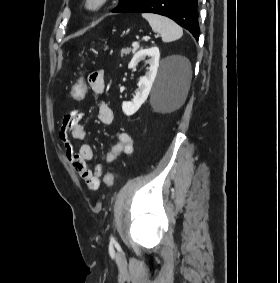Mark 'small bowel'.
I'll use <instances>...</instances> for the list:
<instances>
[{"label":"small bowel","mask_w":280,"mask_h":283,"mask_svg":"<svg viewBox=\"0 0 280 283\" xmlns=\"http://www.w3.org/2000/svg\"><path fill=\"white\" fill-rule=\"evenodd\" d=\"M88 87L95 94H102L105 89L103 71L99 70L92 73L89 77ZM84 113L79 110H73L64 116L59 131V138L65 149L67 161L85 182L89 190H97L100 186V178L106 171L105 163H111L117 160L122 154L130 155L133 152L132 137L126 132H120L117 135L116 142L105 153V163H97L93 169L89 168L88 162L93 159L94 151L90 144L83 143L78 151H75L71 138L83 142L87 139V132L83 125ZM98 120L104 125H110L113 122V112L104 102L99 103Z\"/></svg>","instance_id":"obj_1"}]
</instances>
